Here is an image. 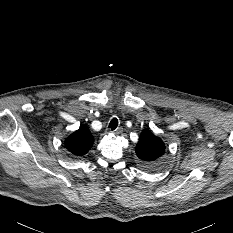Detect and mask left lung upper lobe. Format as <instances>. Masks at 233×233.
<instances>
[{"mask_svg": "<svg viewBox=\"0 0 233 233\" xmlns=\"http://www.w3.org/2000/svg\"><path fill=\"white\" fill-rule=\"evenodd\" d=\"M140 159V165L147 170H157L162 166V158L165 153V144L150 130L145 129L140 136L135 148Z\"/></svg>", "mask_w": 233, "mask_h": 233, "instance_id": "obj_1", "label": "left lung upper lobe"}]
</instances>
